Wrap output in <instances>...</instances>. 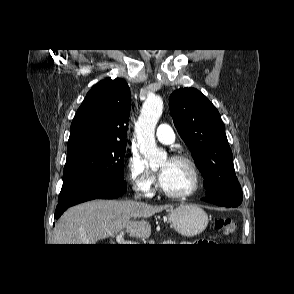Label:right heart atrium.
I'll use <instances>...</instances> for the list:
<instances>
[{"mask_svg": "<svg viewBox=\"0 0 294 294\" xmlns=\"http://www.w3.org/2000/svg\"><path fill=\"white\" fill-rule=\"evenodd\" d=\"M127 169V177L134 190L144 196L151 195L155 185V177L146 169L138 154L131 153L127 161Z\"/></svg>", "mask_w": 294, "mask_h": 294, "instance_id": "right-heart-atrium-1", "label": "right heart atrium"}]
</instances>
